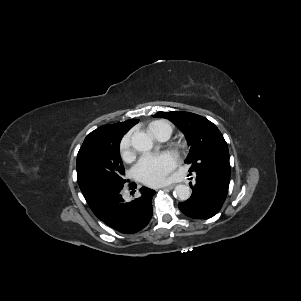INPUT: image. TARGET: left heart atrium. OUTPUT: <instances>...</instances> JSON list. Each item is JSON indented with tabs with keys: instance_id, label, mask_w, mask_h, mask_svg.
I'll use <instances>...</instances> for the list:
<instances>
[{
	"instance_id": "39dd6f15",
	"label": "left heart atrium",
	"mask_w": 301,
	"mask_h": 301,
	"mask_svg": "<svg viewBox=\"0 0 301 301\" xmlns=\"http://www.w3.org/2000/svg\"><path fill=\"white\" fill-rule=\"evenodd\" d=\"M177 165V157L171 152L146 154L140 158L133 172L138 181L149 186H159L167 181Z\"/></svg>"
}]
</instances>
